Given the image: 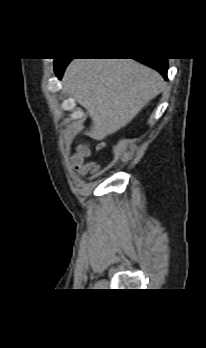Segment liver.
<instances>
[{"label":"liver","mask_w":206,"mask_h":348,"mask_svg":"<svg viewBox=\"0 0 206 348\" xmlns=\"http://www.w3.org/2000/svg\"><path fill=\"white\" fill-rule=\"evenodd\" d=\"M66 93L92 120L89 136L103 140L128 123L161 93V75L133 59H74L63 79Z\"/></svg>","instance_id":"6515ba94"}]
</instances>
